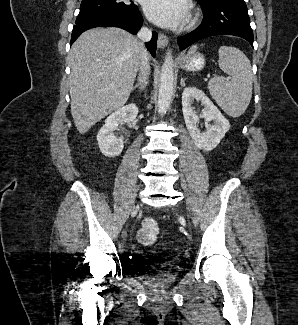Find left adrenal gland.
I'll return each mask as SVG.
<instances>
[{
  "mask_svg": "<svg viewBox=\"0 0 298 325\" xmlns=\"http://www.w3.org/2000/svg\"><path fill=\"white\" fill-rule=\"evenodd\" d=\"M185 80H186V78H180L181 86H185Z\"/></svg>",
  "mask_w": 298,
  "mask_h": 325,
  "instance_id": "a2214340",
  "label": "left adrenal gland"
}]
</instances>
